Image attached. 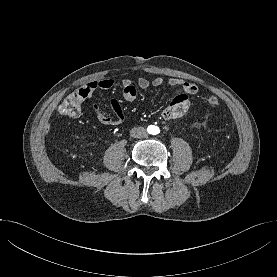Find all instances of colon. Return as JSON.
<instances>
[{
	"instance_id": "1",
	"label": "colon",
	"mask_w": 277,
	"mask_h": 277,
	"mask_svg": "<svg viewBox=\"0 0 277 277\" xmlns=\"http://www.w3.org/2000/svg\"><path fill=\"white\" fill-rule=\"evenodd\" d=\"M85 99V94L80 91H75L68 95L59 105L58 113L68 117H78L81 114L82 102ZM206 102L210 107L218 105V98L210 94L206 98Z\"/></svg>"
}]
</instances>
